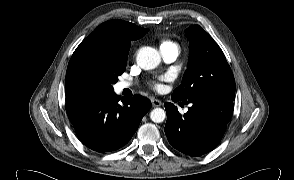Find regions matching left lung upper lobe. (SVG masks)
<instances>
[{
	"label": "left lung upper lobe",
	"instance_id": "obj_1",
	"mask_svg": "<svg viewBox=\"0 0 294 180\" xmlns=\"http://www.w3.org/2000/svg\"><path fill=\"white\" fill-rule=\"evenodd\" d=\"M186 34L190 44L188 68L172 97L183 102L192 99L233 102L234 76L218 44L199 25L189 27Z\"/></svg>",
	"mask_w": 294,
	"mask_h": 180
}]
</instances>
